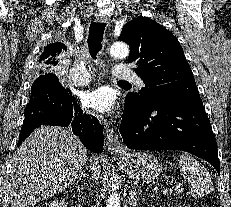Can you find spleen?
<instances>
[{"instance_id": "3e777b00", "label": "spleen", "mask_w": 231, "mask_h": 207, "mask_svg": "<svg viewBox=\"0 0 231 207\" xmlns=\"http://www.w3.org/2000/svg\"><path fill=\"white\" fill-rule=\"evenodd\" d=\"M179 168L184 179L188 181L191 195L199 198L213 190V182L207 170L194 157L182 154L179 157Z\"/></svg>"}]
</instances>
